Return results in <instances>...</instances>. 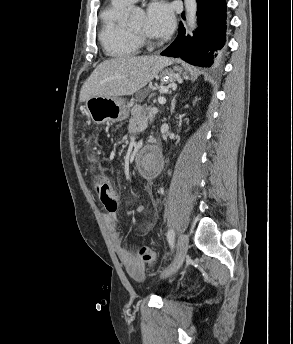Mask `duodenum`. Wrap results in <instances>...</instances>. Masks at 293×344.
Instances as JSON below:
<instances>
[{
    "instance_id": "obj_1",
    "label": "duodenum",
    "mask_w": 293,
    "mask_h": 344,
    "mask_svg": "<svg viewBox=\"0 0 293 344\" xmlns=\"http://www.w3.org/2000/svg\"><path fill=\"white\" fill-rule=\"evenodd\" d=\"M135 158H136V163H137V165L140 166L141 153H137V154L135 155ZM158 165H159V166L162 165V159H161V158L158 159Z\"/></svg>"
}]
</instances>
